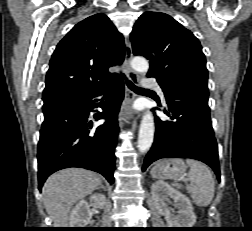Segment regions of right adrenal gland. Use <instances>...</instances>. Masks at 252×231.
I'll return each mask as SVG.
<instances>
[{
  "label": "right adrenal gland",
  "instance_id": "obj_1",
  "mask_svg": "<svg viewBox=\"0 0 252 231\" xmlns=\"http://www.w3.org/2000/svg\"><path fill=\"white\" fill-rule=\"evenodd\" d=\"M100 188H102L105 191V188H104V186L102 184L100 185Z\"/></svg>",
  "mask_w": 252,
  "mask_h": 231
}]
</instances>
